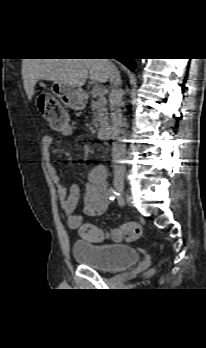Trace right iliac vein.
I'll list each match as a JSON object with an SVG mask.
<instances>
[{
	"mask_svg": "<svg viewBox=\"0 0 206 348\" xmlns=\"http://www.w3.org/2000/svg\"><path fill=\"white\" fill-rule=\"evenodd\" d=\"M114 186L119 193L124 192V178L122 176H116L114 178Z\"/></svg>",
	"mask_w": 206,
	"mask_h": 348,
	"instance_id": "obj_1",
	"label": "right iliac vein"
}]
</instances>
